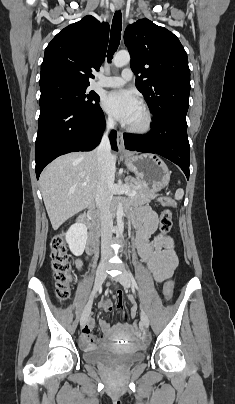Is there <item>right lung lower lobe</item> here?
<instances>
[{"label":"right lung lower lobe","mask_w":235,"mask_h":404,"mask_svg":"<svg viewBox=\"0 0 235 404\" xmlns=\"http://www.w3.org/2000/svg\"><path fill=\"white\" fill-rule=\"evenodd\" d=\"M105 126L102 109L97 104L86 109L62 105L40 107L35 143L36 176L56 157L77 151H90L100 142ZM116 131L110 134L112 149L118 150Z\"/></svg>","instance_id":"right-lung-lower-lobe-1"}]
</instances>
